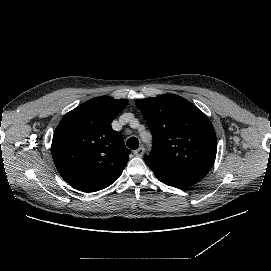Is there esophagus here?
I'll list each match as a JSON object with an SVG mask.
<instances>
[{"mask_svg":"<svg viewBox=\"0 0 271 271\" xmlns=\"http://www.w3.org/2000/svg\"><path fill=\"white\" fill-rule=\"evenodd\" d=\"M144 153H145V148L143 146H140L138 149L133 151V154L137 157L143 156Z\"/></svg>","mask_w":271,"mask_h":271,"instance_id":"1","label":"esophagus"}]
</instances>
